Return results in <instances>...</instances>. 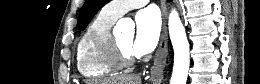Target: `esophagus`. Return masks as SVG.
Here are the masks:
<instances>
[{"instance_id": "34e87169", "label": "esophagus", "mask_w": 260, "mask_h": 84, "mask_svg": "<svg viewBox=\"0 0 260 84\" xmlns=\"http://www.w3.org/2000/svg\"><path fill=\"white\" fill-rule=\"evenodd\" d=\"M162 30L158 48L154 55L153 65L150 69V79L160 83L164 77V68L168 55V32H167V8L164 0H161Z\"/></svg>"}]
</instances>
